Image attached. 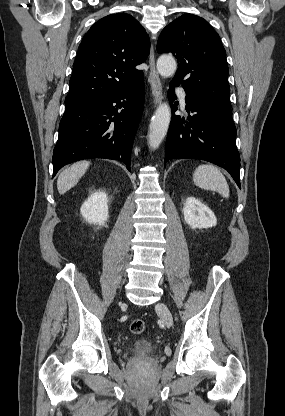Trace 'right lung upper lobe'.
Here are the masks:
<instances>
[{"mask_svg":"<svg viewBox=\"0 0 285 416\" xmlns=\"http://www.w3.org/2000/svg\"><path fill=\"white\" fill-rule=\"evenodd\" d=\"M150 52L141 24L126 13L108 15L85 34L70 79L66 109L108 99L143 78L136 65Z\"/></svg>","mask_w":285,"mask_h":416,"instance_id":"obj_1","label":"right lung upper lobe"}]
</instances>
